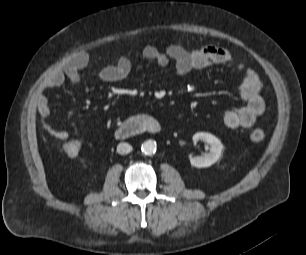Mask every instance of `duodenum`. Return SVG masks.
<instances>
[{
	"label": "duodenum",
	"instance_id": "obj_1",
	"mask_svg": "<svg viewBox=\"0 0 306 255\" xmlns=\"http://www.w3.org/2000/svg\"><path fill=\"white\" fill-rule=\"evenodd\" d=\"M161 131L159 121L151 116L140 115L133 117L115 130V137L120 140L135 137L140 134H157Z\"/></svg>",
	"mask_w": 306,
	"mask_h": 255
}]
</instances>
